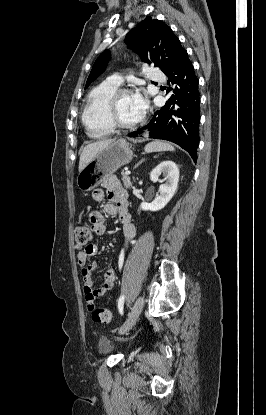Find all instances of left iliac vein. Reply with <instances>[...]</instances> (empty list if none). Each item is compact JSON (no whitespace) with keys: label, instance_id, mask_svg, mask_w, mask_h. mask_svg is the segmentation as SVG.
Wrapping results in <instances>:
<instances>
[{"label":"left iliac vein","instance_id":"left-iliac-vein-1","mask_svg":"<svg viewBox=\"0 0 266 415\" xmlns=\"http://www.w3.org/2000/svg\"><path fill=\"white\" fill-rule=\"evenodd\" d=\"M143 307H144V298L140 296L136 300L131 312L128 315L127 320L125 321L123 326L120 328V331H119L120 334H124V333L128 332L134 326V324L136 323Z\"/></svg>","mask_w":266,"mask_h":415}]
</instances>
